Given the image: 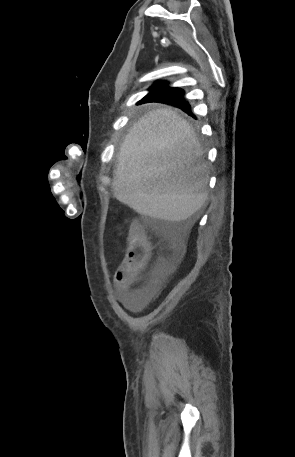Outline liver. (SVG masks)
<instances>
[{
	"label": "liver",
	"instance_id": "1",
	"mask_svg": "<svg viewBox=\"0 0 295 457\" xmlns=\"http://www.w3.org/2000/svg\"><path fill=\"white\" fill-rule=\"evenodd\" d=\"M192 127L171 107L140 118L120 147L114 197L141 215L185 221L207 199L208 167Z\"/></svg>",
	"mask_w": 295,
	"mask_h": 457
}]
</instances>
